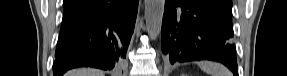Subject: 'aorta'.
Masks as SVG:
<instances>
[{
  "mask_svg": "<svg viewBox=\"0 0 287 76\" xmlns=\"http://www.w3.org/2000/svg\"><path fill=\"white\" fill-rule=\"evenodd\" d=\"M165 0H145V21L149 37L155 40L161 33Z\"/></svg>",
  "mask_w": 287,
  "mask_h": 76,
  "instance_id": "762f6f07",
  "label": "aorta"
}]
</instances>
